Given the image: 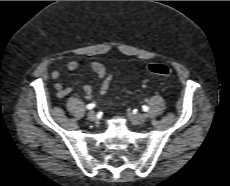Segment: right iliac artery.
<instances>
[{
    "label": "right iliac artery",
    "mask_w": 230,
    "mask_h": 186,
    "mask_svg": "<svg viewBox=\"0 0 230 186\" xmlns=\"http://www.w3.org/2000/svg\"><path fill=\"white\" fill-rule=\"evenodd\" d=\"M95 107V104L94 103H91V104H88L87 106H86V108L87 109H93Z\"/></svg>",
    "instance_id": "1"
}]
</instances>
